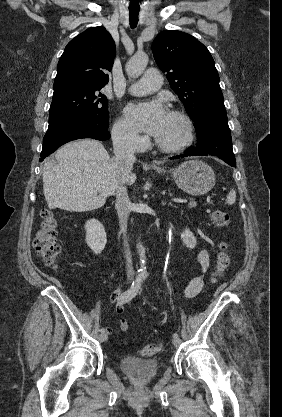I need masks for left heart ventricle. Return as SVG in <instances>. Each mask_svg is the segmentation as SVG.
Here are the masks:
<instances>
[{
    "mask_svg": "<svg viewBox=\"0 0 282 417\" xmlns=\"http://www.w3.org/2000/svg\"><path fill=\"white\" fill-rule=\"evenodd\" d=\"M183 136V125L181 121L173 116L165 115L164 123L156 135L157 138L166 143H173Z\"/></svg>",
    "mask_w": 282,
    "mask_h": 417,
    "instance_id": "obj_1",
    "label": "left heart ventricle"
}]
</instances>
